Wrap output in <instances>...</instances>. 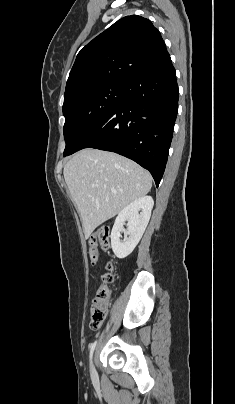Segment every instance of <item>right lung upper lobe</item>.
Here are the masks:
<instances>
[{
    "label": "right lung upper lobe",
    "instance_id": "right-lung-upper-lobe-1",
    "mask_svg": "<svg viewBox=\"0 0 235 404\" xmlns=\"http://www.w3.org/2000/svg\"><path fill=\"white\" fill-rule=\"evenodd\" d=\"M168 57L161 34L150 20L126 16L80 50L66 83L64 103L100 85L124 84Z\"/></svg>",
    "mask_w": 235,
    "mask_h": 404
}]
</instances>
